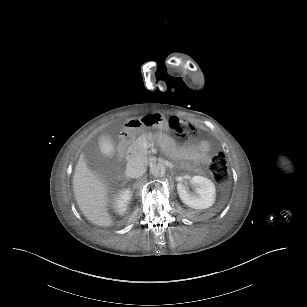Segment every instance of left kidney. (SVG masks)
Here are the masks:
<instances>
[{
	"instance_id": "obj_1",
	"label": "left kidney",
	"mask_w": 307,
	"mask_h": 307,
	"mask_svg": "<svg viewBox=\"0 0 307 307\" xmlns=\"http://www.w3.org/2000/svg\"><path fill=\"white\" fill-rule=\"evenodd\" d=\"M190 183L194 186L195 194L188 192L183 183H177V193L180 200L192 209L202 210L211 207L215 201L214 183L202 176L192 177Z\"/></svg>"
}]
</instances>
